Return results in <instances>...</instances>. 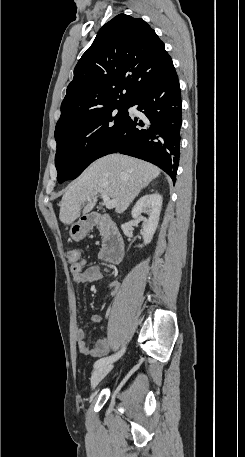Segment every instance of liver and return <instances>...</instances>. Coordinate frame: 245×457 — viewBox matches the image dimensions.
<instances>
[{
	"instance_id": "obj_1",
	"label": "liver",
	"mask_w": 245,
	"mask_h": 457,
	"mask_svg": "<svg viewBox=\"0 0 245 457\" xmlns=\"http://www.w3.org/2000/svg\"><path fill=\"white\" fill-rule=\"evenodd\" d=\"M158 174V166L127 154L102 156L69 184L62 196L59 218L64 224L74 222L80 216L81 204H84L87 198L91 200L82 212H90L97 202L98 192H105L111 198H116V212H124L141 188L147 186Z\"/></svg>"
}]
</instances>
